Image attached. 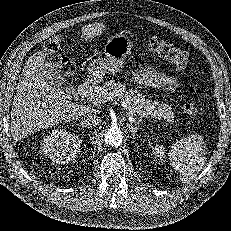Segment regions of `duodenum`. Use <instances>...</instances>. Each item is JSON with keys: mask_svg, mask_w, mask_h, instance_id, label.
Returning <instances> with one entry per match:
<instances>
[{"mask_svg": "<svg viewBox=\"0 0 231 231\" xmlns=\"http://www.w3.org/2000/svg\"><path fill=\"white\" fill-rule=\"evenodd\" d=\"M94 86H95V81L92 78L86 80L78 88L79 95L80 96H86V95L90 94L91 91L93 90Z\"/></svg>", "mask_w": 231, "mask_h": 231, "instance_id": "410a0bca", "label": "duodenum"}]
</instances>
